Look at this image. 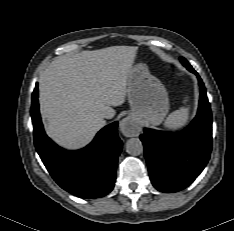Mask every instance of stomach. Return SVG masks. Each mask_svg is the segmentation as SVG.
Masks as SVG:
<instances>
[{"instance_id": "1", "label": "stomach", "mask_w": 234, "mask_h": 231, "mask_svg": "<svg viewBox=\"0 0 234 231\" xmlns=\"http://www.w3.org/2000/svg\"><path fill=\"white\" fill-rule=\"evenodd\" d=\"M126 92L135 120L156 125L168 113V93L164 85L150 74L146 64L138 63L130 67Z\"/></svg>"}]
</instances>
